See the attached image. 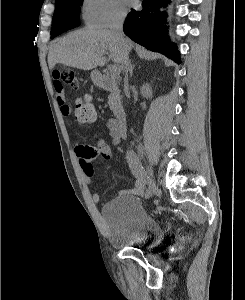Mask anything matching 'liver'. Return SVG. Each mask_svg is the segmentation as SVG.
I'll list each match as a JSON object with an SVG mask.
<instances>
[{"mask_svg": "<svg viewBox=\"0 0 245 300\" xmlns=\"http://www.w3.org/2000/svg\"><path fill=\"white\" fill-rule=\"evenodd\" d=\"M128 41L129 51L132 42ZM109 52L110 58L120 69H124V52L121 42L111 30L80 29L58 39L50 48L48 65L52 69L57 63L66 66L91 70L106 63L104 54Z\"/></svg>", "mask_w": 245, "mask_h": 300, "instance_id": "1", "label": "liver"}]
</instances>
